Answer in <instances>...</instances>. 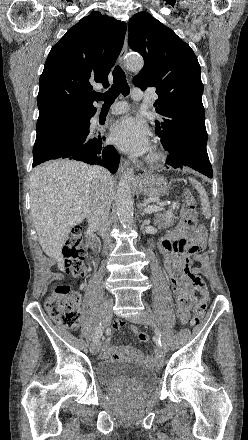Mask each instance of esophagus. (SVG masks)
Returning a JSON list of instances; mask_svg holds the SVG:
<instances>
[{"label":"esophagus","mask_w":248,"mask_h":440,"mask_svg":"<svg viewBox=\"0 0 248 440\" xmlns=\"http://www.w3.org/2000/svg\"><path fill=\"white\" fill-rule=\"evenodd\" d=\"M127 39H128V35H127V31H126V35H125V40H124L123 48H122V50H121V53H120V55H119V59H118V62H119V64H120L122 67L124 66V60H125V57H126V54H127V51H128V42H127ZM129 165H130V163H129L128 160H126L125 158H121V160H120V164H119V168H118V172H119L120 174H121V173H124V172L128 169Z\"/></svg>","instance_id":"obj_1"}]
</instances>
